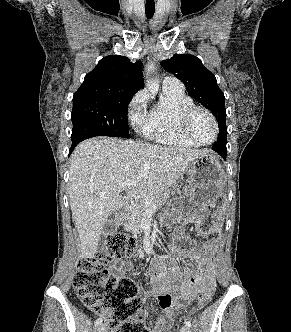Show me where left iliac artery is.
Listing matches in <instances>:
<instances>
[{
  "instance_id": "44dca946",
  "label": "left iliac artery",
  "mask_w": 291,
  "mask_h": 332,
  "mask_svg": "<svg viewBox=\"0 0 291 332\" xmlns=\"http://www.w3.org/2000/svg\"><path fill=\"white\" fill-rule=\"evenodd\" d=\"M185 324H186V326L189 327V328L192 326V324H191L190 321H186Z\"/></svg>"
}]
</instances>
